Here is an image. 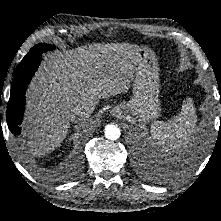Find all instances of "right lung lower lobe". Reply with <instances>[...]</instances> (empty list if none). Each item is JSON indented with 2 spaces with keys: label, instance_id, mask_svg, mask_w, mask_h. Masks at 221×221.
Segmentation results:
<instances>
[{
  "label": "right lung lower lobe",
  "instance_id": "98d812e1",
  "mask_svg": "<svg viewBox=\"0 0 221 221\" xmlns=\"http://www.w3.org/2000/svg\"><path fill=\"white\" fill-rule=\"evenodd\" d=\"M42 58L36 57L26 64H19L14 73V80L11 84L10 99L7 107V124L14 135H19L23 113L25 109V91L37 70Z\"/></svg>",
  "mask_w": 221,
  "mask_h": 221
}]
</instances>
